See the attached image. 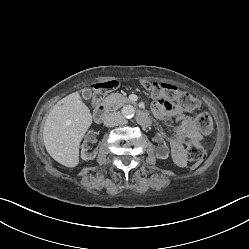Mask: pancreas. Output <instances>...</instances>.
Returning a JSON list of instances; mask_svg holds the SVG:
<instances>
[{"label":"pancreas","instance_id":"1","mask_svg":"<svg viewBox=\"0 0 249 249\" xmlns=\"http://www.w3.org/2000/svg\"><path fill=\"white\" fill-rule=\"evenodd\" d=\"M104 102L113 110H117L130 100L119 93H112L105 98Z\"/></svg>","mask_w":249,"mask_h":249}]
</instances>
